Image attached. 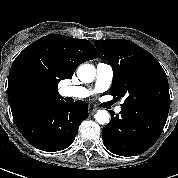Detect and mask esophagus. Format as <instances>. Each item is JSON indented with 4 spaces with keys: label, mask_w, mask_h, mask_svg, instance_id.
I'll list each match as a JSON object with an SVG mask.
<instances>
[{
    "label": "esophagus",
    "mask_w": 178,
    "mask_h": 178,
    "mask_svg": "<svg viewBox=\"0 0 178 178\" xmlns=\"http://www.w3.org/2000/svg\"><path fill=\"white\" fill-rule=\"evenodd\" d=\"M98 110V108H96V107H92L91 109H90V115H92V114H94L96 111Z\"/></svg>",
    "instance_id": "esophagus-1"
}]
</instances>
